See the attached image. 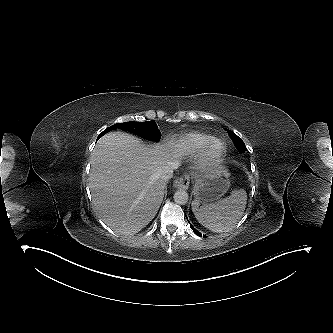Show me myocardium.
Instances as JSON below:
<instances>
[{
    "label": "myocardium",
    "instance_id": "myocardium-1",
    "mask_svg": "<svg viewBox=\"0 0 333 333\" xmlns=\"http://www.w3.org/2000/svg\"><path fill=\"white\" fill-rule=\"evenodd\" d=\"M217 145L219 147L215 149ZM225 150L226 146L223 141L217 138L211 139L201 153V160L207 165L216 164L222 158Z\"/></svg>",
    "mask_w": 333,
    "mask_h": 333
}]
</instances>
